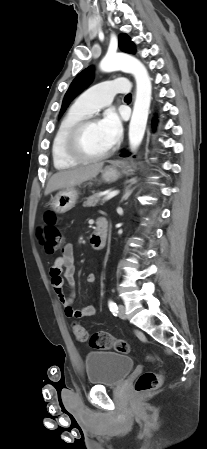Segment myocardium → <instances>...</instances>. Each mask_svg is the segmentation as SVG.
<instances>
[{
  "instance_id": "myocardium-1",
  "label": "myocardium",
  "mask_w": 207,
  "mask_h": 449,
  "mask_svg": "<svg viewBox=\"0 0 207 449\" xmlns=\"http://www.w3.org/2000/svg\"><path fill=\"white\" fill-rule=\"evenodd\" d=\"M97 122L98 121L96 118L88 116L81 119L71 127V129L68 131L66 135L64 146L65 152L70 158L78 162H95L105 159L112 153L113 151L112 146L102 153L89 154L83 149L81 145V137L84 130L88 126Z\"/></svg>"
}]
</instances>
